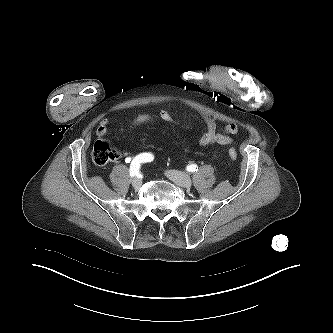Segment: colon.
I'll use <instances>...</instances> for the list:
<instances>
[{
    "label": "colon",
    "instance_id": "1",
    "mask_svg": "<svg viewBox=\"0 0 333 333\" xmlns=\"http://www.w3.org/2000/svg\"><path fill=\"white\" fill-rule=\"evenodd\" d=\"M158 116L149 114V113H141L136 115L130 122V127L135 128L137 126L153 123L158 121ZM120 156V151L116 148L112 147L108 142L103 140H97L93 146L91 152V158L94 164L98 166H104ZM237 157V153L234 148L229 149V158L234 161Z\"/></svg>",
    "mask_w": 333,
    "mask_h": 333
}]
</instances>
